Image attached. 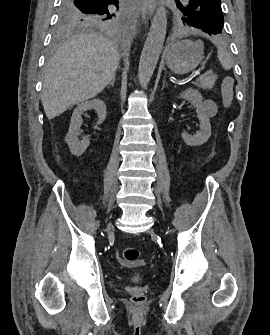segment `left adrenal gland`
<instances>
[{
    "label": "left adrenal gland",
    "instance_id": "obj_1",
    "mask_svg": "<svg viewBox=\"0 0 270 335\" xmlns=\"http://www.w3.org/2000/svg\"><path fill=\"white\" fill-rule=\"evenodd\" d=\"M164 88H165V80H163L162 90H164Z\"/></svg>",
    "mask_w": 270,
    "mask_h": 335
}]
</instances>
